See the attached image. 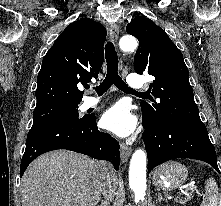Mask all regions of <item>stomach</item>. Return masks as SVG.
Instances as JSON below:
<instances>
[{"label":"stomach","mask_w":221,"mask_h":206,"mask_svg":"<svg viewBox=\"0 0 221 206\" xmlns=\"http://www.w3.org/2000/svg\"><path fill=\"white\" fill-rule=\"evenodd\" d=\"M188 175L187 168L177 162H168L158 167L152 177L153 185L161 190L169 191L183 185Z\"/></svg>","instance_id":"0dacf381"}]
</instances>
